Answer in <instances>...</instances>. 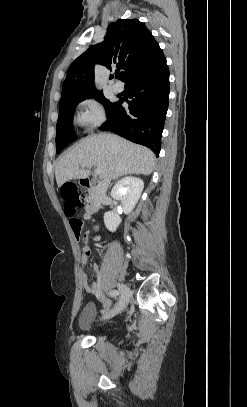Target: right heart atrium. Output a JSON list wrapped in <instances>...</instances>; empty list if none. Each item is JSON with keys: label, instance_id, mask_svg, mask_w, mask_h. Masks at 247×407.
<instances>
[{"label": "right heart atrium", "instance_id": "right-heart-atrium-1", "mask_svg": "<svg viewBox=\"0 0 247 407\" xmlns=\"http://www.w3.org/2000/svg\"><path fill=\"white\" fill-rule=\"evenodd\" d=\"M106 119L105 110L96 98H85L79 102L76 121L84 129L99 127Z\"/></svg>", "mask_w": 247, "mask_h": 407}]
</instances>
